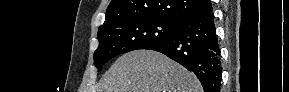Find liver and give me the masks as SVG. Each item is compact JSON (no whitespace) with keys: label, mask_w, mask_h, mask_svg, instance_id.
Returning <instances> with one entry per match:
<instances>
[{"label":"liver","mask_w":289,"mask_h":92,"mask_svg":"<svg viewBox=\"0 0 289 92\" xmlns=\"http://www.w3.org/2000/svg\"><path fill=\"white\" fill-rule=\"evenodd\" d=\"M99 92H202L194 73L150 50L120 56L105 73Z\"/></svg>","instance_id":"liver-1"}]
</instances>
